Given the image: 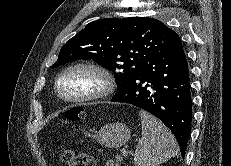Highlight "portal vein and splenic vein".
I'll return each instance as SVG.
<instances>
[{
    "label": "portal vein and splenic vein",
    "mask_w": 231,
    "mask_h": 166,
    "mask_svg": "<svg viewBox=\"0 0 231 166\" xmlns=\"http://www.w3.org/2000/svg\"><path fill=\"white\" fill-rule=\"evenodd\" d=\"M122 155H123V156L127 155V151H126V150H123V151H122ZM117 159H122V156H121V155L117 156Z\"/></svg>",
    "instance_id": "18ae733b"
}]
</instances>
